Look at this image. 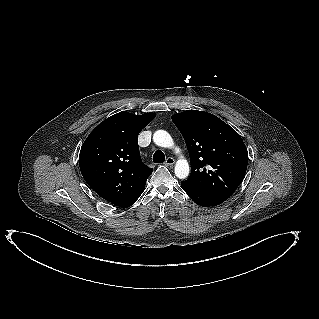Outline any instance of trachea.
<instances>
[{
    "label": "trachea",
    "instance_id": "1",
    "mask_svg": "<svg viewBox=\"0 0 319 319\" xmlns=\"http://www.w3.org/2000/svg\"><path fill=\"white\" fill-rule=\"evenodd\" d=\"M165 161V155L161 150H157L153 155L154 163H163Z\"/></svg>",
    "mask_w": 319,
    "mask_h": 319
}]
</instances>
